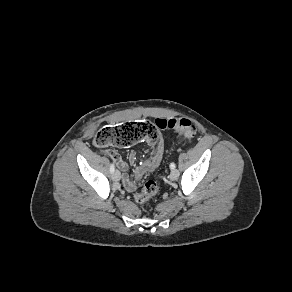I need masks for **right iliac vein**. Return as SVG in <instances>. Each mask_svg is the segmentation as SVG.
Instances as JSON below:
<instances>
[{"instance_id":"1","label":"right iliac vein","mask_w":292,"mask_h":292,"mask_svg":"<svg viewBox=\"0 0 292 292\" xmlns=\"http://www.w3.org/2000/svg\"><path fill=\"white\" fill-rule=\"evenodd\" d=\"M112 179L115 182H118L120 180V173L118 170H116L113 174H112Z\"/></svg>"}]
</instances>
